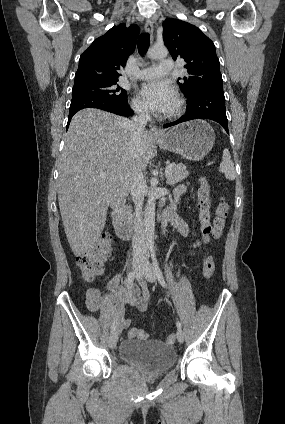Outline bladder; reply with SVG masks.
<instances>
[{
	"label": "bladder",
	"instance_id": "31cf9c89",
	"mask_svg": "<svg viewBox=\"0 0 285 424\" xmlns=\"http://www.w3.org/2000/svg\"><path fill=\"white\" fill-rule=\"evenodd\" d=\"M123 362L133 365L148 374L169 371L177 359L176 350L161 340H124L119 346Z\"/></svg>",
	"mask_w": 285,
	"mask_h": 424
}]
</instances>
